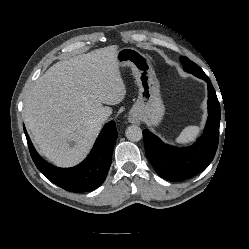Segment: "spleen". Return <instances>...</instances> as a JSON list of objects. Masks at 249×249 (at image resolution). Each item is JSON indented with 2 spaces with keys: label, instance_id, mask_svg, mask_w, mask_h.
Returning <instances> with one entry per match:
<instances>
[{
  "label": "spleen",
  "instance_id": "3e777b00",
  "mask_svg": "<svg viewBox=\"0 0 249 249\" xmlns=\"http://www.w3.org/2000/svg\"><path fill=\"white\" fill-rule=\"evenodd\" d=\"M199 134L198 126H187L185 127L180 135L177 137L176 142L180 144H186L194 141Z\"/></svg>",
  "mask_w": 249,
  "mask_h": 249
}]
</instances>
